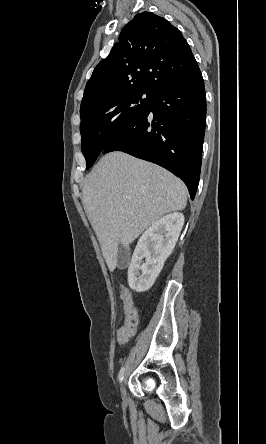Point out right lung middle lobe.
<instances>
[{"label": "right lung middle lobe", "instance_id": "right-lung-middle-lobe-1", "mask_svg": "<svg viewBox=\"0 0 266 444\" xmlns=\"http://www.w3.org/2000/svg\"><path fill=\"white\" fill-rule=\"evenodd\" d=\"M152 96V92L145 90H122L103 96L80 110L86 169L117 134L148 111Z\"/></svg>", "mask_w": 266, "mask_h": 444}]
</instances>
